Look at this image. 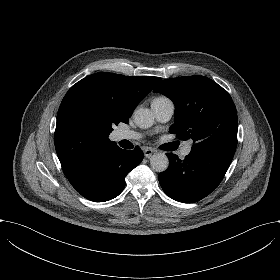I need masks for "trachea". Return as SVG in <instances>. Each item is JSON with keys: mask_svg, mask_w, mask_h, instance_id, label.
I'll use <instances>...</instances> for the list:
<instances>
[{"mask_svg": "<svg viewBox=\"0 0 280 280\" xmlns=\"http://www.w3.org/2000/svg\"><path fill=\"white\" fill-rule=\"evenodd\" d=\"M178 145H179L178 142H172V143H167L165 145H162L160 148L162 150L174 151L178 148Z\"/></svg>", "mask_w": 280, "mask_h": 280, "instance_id": "trachea-1", "label": "trachea"}]
</instances>
